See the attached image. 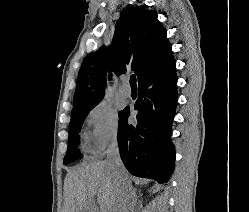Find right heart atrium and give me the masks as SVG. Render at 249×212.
Instances as JSON below:
<instances>
[{
  "mask_svg": "<svg viewBox=\"0 0 249 212\" xmlns=\"http://www.w3.org/2000/svg\"><path fill=\"white\" fill-rule=\"evenodd\" d=\"M85 123L88 127V147L95 155L101 156L117 145L119 122L110 106L102 102L92 106L86 113Z\"/></svg>",
  "mask_w": 249,
  "mask_h": 212,
  "instance_id": "1",
  "label": "right heart atrium"
}]
</instances>
